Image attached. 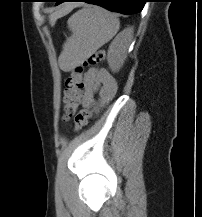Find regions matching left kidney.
I'll return each instance as SVG.
<instances>
[{"mask_svg": "<svg viewBox=\"0 0 202 217\" xmlns=\"http://www.w3.org/2000/svg\"><path fill=\"white\" fill-rule=\"evenodd\" d=\"M128 41L123 35L117 37L109 46L107 61L112 72H118L127 57Z\"/></svg>", "mask_w": 202, "mask_h": 217, "instance_id": "left-kidney-1", "label": "left kidney"}]
</instances>
